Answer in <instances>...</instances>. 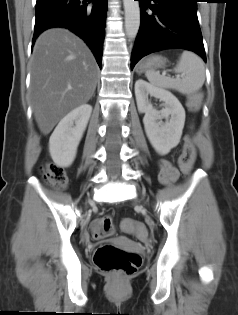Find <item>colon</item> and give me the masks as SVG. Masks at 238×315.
<instances>
[{
  "mask_svg": "<svg viewBox=\"0 0 238 315\" xmlns=\"http://www.w3.org/2000/svg\"><path fill=\"white\" fill-rule=\"evenodd\" d=\"M200 97L194 95L189 100L192 108H197ZM196 157V148L190 139H187L182 153L178 159V166L183 173H189L193 167ZM45 179L58 189L67 185L68 177L63 168L49 163L43 168ZM122 229L138 238L146 237L145 226L134 220H124ZM92 234L97 239H104L114 233V223L110 216L102 217L95 220L91 227ZM141 256L135 252H128L113 245H101L95 252L94 263L97 268L111 275L113 278L120 280L133 275L141 265Z\"/></svg>",
  "mask_w": 238,
  "mask_h": 315,
  "instance_id": "colon-1",
  "label": "colon"
}]
</instances>
